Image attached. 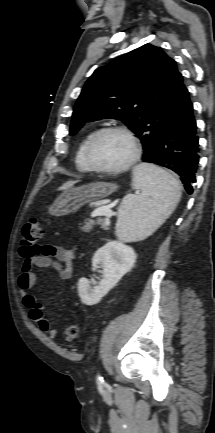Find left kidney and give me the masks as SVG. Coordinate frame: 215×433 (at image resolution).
<instances>
[{
    "label": "left kidney",
    "mask_w": 215,
    "mask_h": 433,
    "mask_svg": "<svg viewBox=\"0 0 215 433\" xmlns=\"http://www.w3.org/2000/svg\"><path fill=\"white\" fill-rule=\"evenodd\" d=\"M136 254L132 247L120 241H110L96 251L92 259L93 271L102 268L101 280L93 288L86 278L78 281V293L85 305L97 304L133 267Z\"/></svg>",
    "instance_id": "obj_1"
}]
</instances>
